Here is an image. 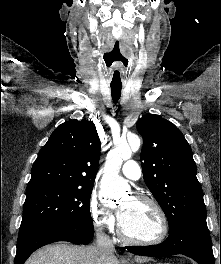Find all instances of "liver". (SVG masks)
Here are the masks:
<instances>
[{
  "instance_id": "obj_1",
  "label": "liver",
  "mask_w": 221,
  "mask_h": 264,
  "mask_svg": "<svg viewBox=\"0 0 221 264\" xmlns=\"http://www.w3.org/2000/svg\"><path fill=\"white\" fill-rule=\"evenodd\" d=\"M146 257H135L136 262H146ZM25 264H119L115 255L103 257L97 246H71L54 244L36 251Z\"/></svg>"
}]
</instances>
